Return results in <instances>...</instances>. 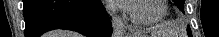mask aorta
<instances>
[{"label": "aorta", "instance_id": "762f6f07", "mask_svg": "<svg viewBox=\"0 0 219 37\" xmlns=\"http://www.w3.org/2000/svg\"><path fill=\"white\" fill-rule=\"evenodd\" d=\"M112 37H120V34H118L117 32L113 33Z\"/></svg>", "mask_w": 219, "mask_h": 37}]
</instances>
